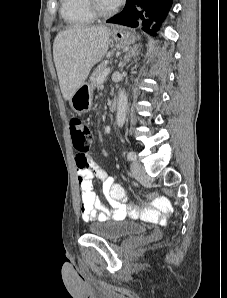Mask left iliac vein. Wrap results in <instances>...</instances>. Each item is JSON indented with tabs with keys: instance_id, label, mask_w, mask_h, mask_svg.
Returning <instances> with one entry per match:
<instances>
[{
	"instance_id": "1",
	"label": "left iliac vein",
	"mask_w": 227,
	"mask_h": 298,
	"mask_svg": "<svg viewBox=\"0 0 227 298\" xmlns=\"http://www.w3.org/2000/svg\"><path fill=\"white\" fill-rule=\"evenodd\" d=\"M132 173L135 177H141L145 174L144 167L138 163L137 161H134L131 165Z\"/></svg>"
}]
</instances>
